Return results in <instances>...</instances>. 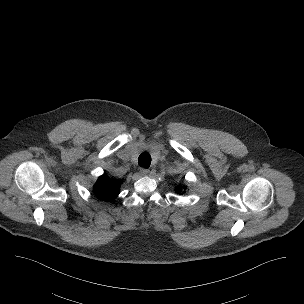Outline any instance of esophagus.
Returning a JSON list of instances; mask_svg holds the SVG:
<instances>
[{
	"label": "esophagus",
	"instance_id": "obj_1",
	"mask_svg": "<svg viewBox=\"0 0 304 304\" xmlns=\"http://www.w3.org/2000/svg\"><path fill=\"white\" fill-rule=\"evenodd\" d=\"M149 172H150V170L147 169V168H141V169H140V174H141L142 176L148 175Z\"/></svg>",
	"mask_w": 304,
	"mask_h": 304
}]
</instances>
